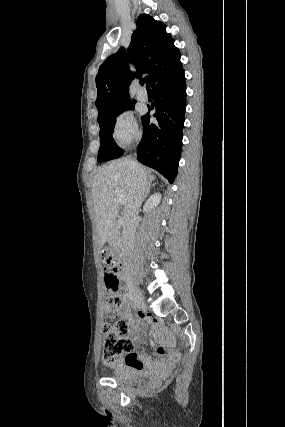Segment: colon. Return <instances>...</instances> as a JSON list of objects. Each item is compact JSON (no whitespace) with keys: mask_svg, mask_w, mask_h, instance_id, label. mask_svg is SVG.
Returning <instances> with one entry per match:
<instances>
[{"mask_svg":"<svg viewBox=\"0 0 285 427\" xmlns=\"http://www.w3.org/2000/svg\"><path fill=\"white\" fill-rule=\"evenodd\" d=\"M101 265L104 271V282L107 291L105 298L106 323L101 358L103 365L112 367L123 355L132 353L133 344L125 336L127 330L125 321L119 318L122 298L117 290L119 285L117 262L109 254L103 253ZM156 353L163 355L165 349L157 347ZM135 365L144 367V364L140 361L135 362Z\"/></svg>","mask_w":285,"mask_h":427,"instance_id":"colon-1","label":"colon"}]
</instances>
